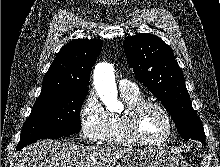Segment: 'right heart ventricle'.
Returning a JSON list of instances; mask_svg holds the SVG:
<instances>
[{
  "label": "right heart ventricle",
  "mask_w": 220,
  "mask_h": 167,
  "mask_svg": "<svg viewBox=\"0 0 220 167\" xmlns=\"http://www.w3.org/2000/svg\"><path fill=\"white\" fill-rule=\"evenodd\" d=\"M122 97L128 106L143 100L139 91L122 92ZM102 143L109 146H128L132 144L125 137L120 114L108 113L107 127Z\"/></svg>",
  "instance_id": "e07e8e85"
}]
</instances>
